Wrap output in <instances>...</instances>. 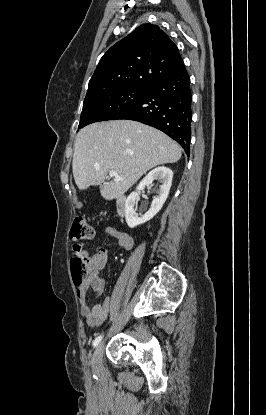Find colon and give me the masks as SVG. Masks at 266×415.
Returning <instances> with one entry per match:
<instances>
[{
	"label": "colon",
	"mask_w": 266,
	"mask_h": 415,
	"mask_svg": "<svg viewBox=\"0 0 266 415\" xmlns=\"http://www.w3.org/2000/svg\"><path fill=\"white\" fill-rule=\"evenodd\" d=\"M95 235V229L84 216H77L72 224L70 230V237L74 241L91 239ZM71 269L74 282L79 285L83 282L86 272L87 265L85 258L82 255L81 248L77 247L73 250L71 258Z\"/></svg>",
	"instance_id": "obj_1"
}]
</instances>
